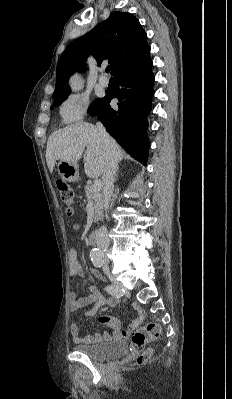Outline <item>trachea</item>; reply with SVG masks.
<instances>
[{
	"mask_svg": "<svg viewBox=\"0 0 232 399\" xmlns=\"http://www.w3.org/2000/svg\"><path fill=\"white\" fill-rule=\"evenodd\" d=\"M110 70H111V67L106 68V72H110Z\"/></svg>",
	"mask_w": 232,
	"mask_h": 399,
	"instance_id": "1",
	"label": "trachea"
}]
</instances>
